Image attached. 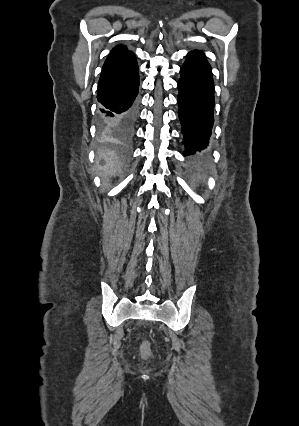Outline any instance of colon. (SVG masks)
Here are the masks:
<instances>
[{
  "instance_id": "colon-1",
  "label": "colon",
  "mask_w": 299,
  "mask_h": 426,
  "mask_svg": "<svg viewBox=\"0 0 299 426\" xmlns=\"http://www.w3.org/2000/svg\"><path fill=\"white\" fill-rule=\"evenodd\" d=\"M148 354H149L148 346L145 345L144 348H143V355L148 356Z\"/></svg>"
}]
</instances>
